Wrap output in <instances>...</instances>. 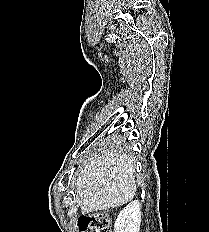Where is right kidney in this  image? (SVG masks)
<instances>
[{"label":"right kidney","instance_id":"1","mask_svg":"<svg viewBox=\"0 0 209 232\" xmlns=\"http://www.w3.org/2000/svg\"><path fill=\"white\" fill-rule=\"evenodd\" d=\"M141 223L140 202H130L118 215L115 224V232H139Z\"/></svg>","mask_w":209,"mask_h":232}]
</instances>
